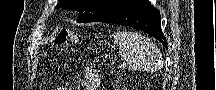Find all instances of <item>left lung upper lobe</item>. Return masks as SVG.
I'll return each mask as SVG.
<instances>
[{"mask_svg": "<svg viewBox=\"0 0 216 90\" xmlns=\"http://www.w3.org/2000/svg\"><path fill=\"white\" fill-rule=\"evenodd\" d=\"M129 0H60L56 8L79 12L77 22H93L105 13L123 6Z\"/></svg>", "mask_w": 216, "mask_h": 90, "instance_id": "1", "label": "left lung upper lobe"}]
</instances>
